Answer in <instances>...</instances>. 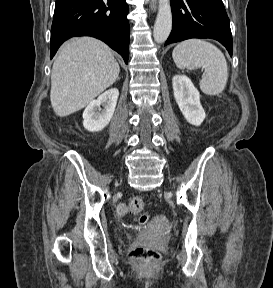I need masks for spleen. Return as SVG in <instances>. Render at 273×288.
<instances>
[{"mask_svg":"<svg viewBox=\"0 0 273 288\" xmlns=\"http://www.w3.org/2000/svg\"><path fill=\"white\" fill-rule=\"evenodd\" d=\"M172 57L180 69L204 68L200 89L206 95H218L226 87L228 67L224 54L215 45L202 39H189L179 43Z\"/></svg>","mask_w":273,"mask_h":288,"instance_id":"3e777b00","label":"spleen"}]
</instances>
